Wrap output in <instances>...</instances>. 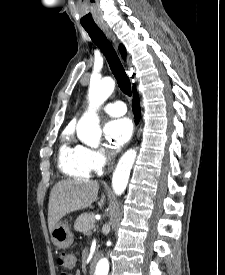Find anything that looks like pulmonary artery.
Segmentation results:
<instances>
[{"label": "pulmonary artery", "instance_id": "pulmonary-artery-1", "mask_svg": "<svg viewBox=\"0 0 225 275\" xmlns=\"http://www.w3.org/2000/svg\"><path fill=\"white\" fill-rule=\"evenodd\" d=\"M102 110L111 116H121L126 113L127 108L122 101H115L104 105Z\"/></svg>", "mask_w": 225, "mask_h": 275}]
</instances>
